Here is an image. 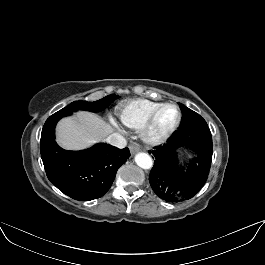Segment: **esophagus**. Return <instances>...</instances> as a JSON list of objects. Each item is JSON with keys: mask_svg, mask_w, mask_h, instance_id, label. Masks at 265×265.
Wrapping results in <instances>:
<instances>
[{"mask_svg": "<svg viewBox=\"0 0 265 265\" xmlns=\"http://www.w3.org/2000/svg\"><path fill=\"white\" fill-rule=\"evenodd\" d=\"M129 149H130L131 154L133 155L140 150V147L136 143H131L129 145Z\"/></svg>", "mask_w": 265, "mask_h": 265, "instance_id": "34e87169", "label": "esophagus"}]
</instances>
